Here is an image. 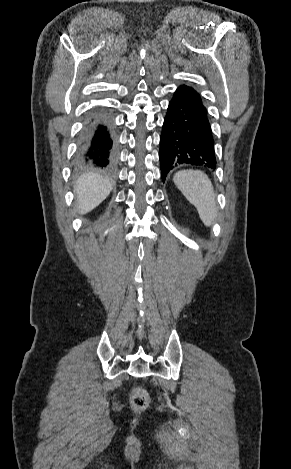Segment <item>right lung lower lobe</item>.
Instances as JSON below:
<instances>
[{"instance_id":"obj_1","label":"right lung lower lobe","mask_w":291,"mask_h":469,"mask_svg":"<svg viewBox=\"0 0 291 469\" xmlns=\"http://www.w3.org/2000/svg\"><path fill=\"white\" fill-rule=\"evenodd\" d=\"M116 157L117 143L110 119L98 112L90 113L80 134L76 166L112 171Z\"/></svg>"}]
</instances>
